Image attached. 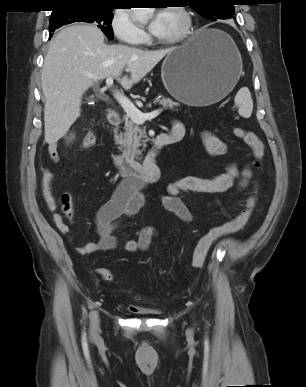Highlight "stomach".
Returning a JSON list of instances; mask_svg holds the SVG:
<instances>
[{
	"label": "stomach",
	"mask_w": 306,
	"mask_h": 387,
	"mask_svg": "<svg viewBox=\"0 0 306 387\" xmlns=\"http://www.w3.org/2000/svg\"><path fill=\"white\" fill-rule=\"evenodd\" d=\"M241 55L226 33L202 28L164 59L161 77L167 91L190 106L222 100L237 84Z\"/></svg>",
	"instance_id": "1"
}]
</instances>
